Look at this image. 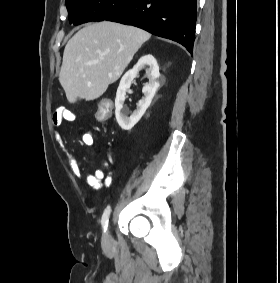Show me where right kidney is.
Wrapping results in <instances>:
<instances>
[{"mask_svg":"<svg viewBox=\"0 0 280 283\" xmlns=\"http://www.w3.org/2000/svg\"><path fill=\"white\" fill-rule=\"evenodd\" d=\"M147 66L148 68L146 69V73L149 78V83H146L142 89L144 97L139 101L137 110H135L131 116H128L129 110L127 108H124L123 106L126 91L130 88V85L133 79L137 76L138 72L142 68H146ZM159 86V66L157 64L156 59L151 54L141 57L137 64L123 75L119 87L117 89L115 99L116 120L123 130H131L134 125L138 123L147 108L150 106L151 101Z\"/></svg>","mask_w":280,"mask_h":283,"instance_id":"right-kidney-1","label":"right kidney"}]
</instances>
